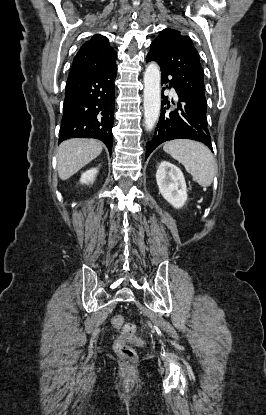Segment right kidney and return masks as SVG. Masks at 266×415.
I'll use <instances>...</instances> for the list:
<instances>
[{"label": "right kidney", "instance_id": "1", "mask_svg": "<svg viewBox=\"0 0 266 415\" xmlns=\"http://www.w3.org/2000/svg\"><path fill=\"white\" fill-rule=\"evenodd\" d=\"M98 173L97 168H92L81 175L80 182L82 184L93 183L96 174Z\"/></svg>", "mask_w": 266, "mask_h": 415}]
</instances>
